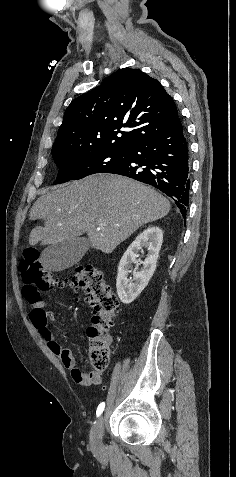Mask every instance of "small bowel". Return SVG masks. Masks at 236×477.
I'll list each match as a JSON object with an SVG mask.
<instances>
[{
    "label": "small bowel",
    "mask_w": 236,
    "mask_h": 477,
    "mask_svg": "<svg viewBox=\"0 0 236 477\" xmlns=\"http://www.w3.org/2000/svg\"><path fill=\"white\" fill-rule=\"evenodd\" d=\"M30 321L35 330L46 343L50 351L56 356L60 357L63 365L70 370L73 380L78 384L96 385L102 381V375L98 372L83 373L76 368V361L71 349L64 348L57 341L53 331L50 328V323L55 320V313L45 309V303L42 301L30 302ZM110 344L111 339H107Z\"/></svg>",
    "instance_id": "1"
}]
</instances>
